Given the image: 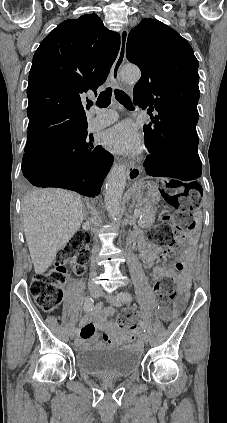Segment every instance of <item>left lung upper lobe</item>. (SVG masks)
Returning <instances> with one entry per match:
<instances>
[{
  "label": "left lung upper lobe",
  "instance_id": "obj_1",
  "mask_svg": "<svg viewBox=\"0 0 227 423\" xmlns=\"http://www.w3.org/2000/svg\"><path fill=\"white\" fill-rule=\"evenodd\" d=\"M126 56L142 73L133 90L135 105L156 110L157 119L198 120V61L183 37L144 19L128 35Z\"/></svg>",
  "mask_w": 227,
  "mask_h": 423
}]
</instances>
